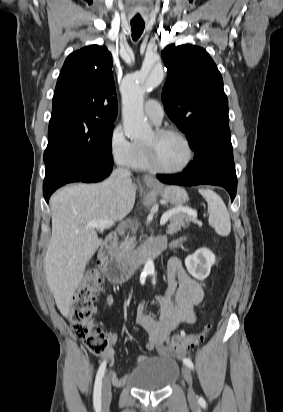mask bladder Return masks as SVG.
Instances as JSON below:
<instances>
[{"instance_id":"31cf9c89","label":"bladder","mask_w":283,"mask_h":412,"mask_svg":"<svg viewBox=\"0 0 283 412\" xmlns=\"http://www.w3.org/2000/svg\"><path fill=\"white\" fill-rule=\"evenodd\" d=\"M180 367L167 358L148 359L134 368L126 377L130 387L145 390H164L179 377Z\"/></svg>"}]
</instances>
